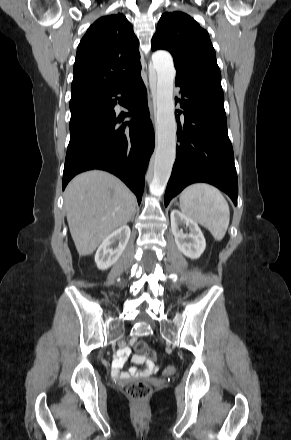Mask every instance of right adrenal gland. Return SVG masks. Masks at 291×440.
Listing matches in <instances>:
<instances>
[{
  "label": "right adrenal gland",
  "mask_w": 291,
  "mask_h": 440,
  "mask_svg": "<svg viewBox=\"0 0 291 440\" xmlns=\"http://www.w3.org/2000/svg\"><path fill=\"white\" fill-rule=\"evenodd\" d=\"M133 220H134V216L132 217L131 221H133Z\"/></svg>",
  "instance_id": "1"
}]
</instances>
